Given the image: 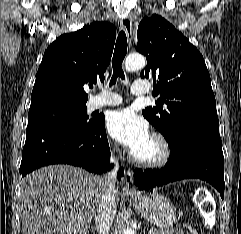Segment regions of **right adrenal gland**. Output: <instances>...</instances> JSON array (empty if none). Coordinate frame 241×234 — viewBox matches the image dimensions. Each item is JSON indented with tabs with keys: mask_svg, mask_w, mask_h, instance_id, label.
Listing matches in <instances>:
<instances>
[{
	"mask_svg": "<svg viewBox=\"0 0 241 234\" xmlns=\"http://www.w3.org/2000/svg\"><path fill=\"white\" fill-rule=\"evenodd\" d=\"M91 230L93 231V230H94V228L92 227V228H91Z\"/></svg>",
	"mask_w": 241,
	"mask_h": 234,
	"instance_id": "2a0ac1e0",
	"label": "right adrenal gland"
}]
</instances>
